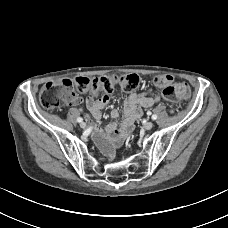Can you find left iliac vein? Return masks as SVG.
Wrapping results in <instances>:
<instances>
[{
	"mask_svg": "<svg viewBox=\"0 0 228 228\" xmlns=\"http://www.w3.org/2000/svg\"><path fill=\"white\" fill-rule=\"evenodd\" d=\"M153 126H154V124L152 122H146L143 127L146 130H150L153 128Z\"/></svg>",
	"mask_w": 228,
	"mask_h": 228,
	"instance_id": "4c4485c4",
	"label": "left iliac vein"
}]
</instances>
